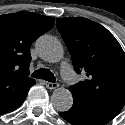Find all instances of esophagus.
Here are the masks:
<instances>
[{"instance_id": "34e87169", "label": "esophagus", "mask_w": 125, "mask_h": 125, "mask_svg": "<svg viewBox=\"0 0 125 125\" xmlns=\"http://www.w3.org/2000/svg\"><path fill=\"white\" fill-rule=\"evenodd\" d=\"M44 84L48 89H51V90L56 89L59 86L58 83H52L48 81H44Z\"/></svg>"}]
</instances>
